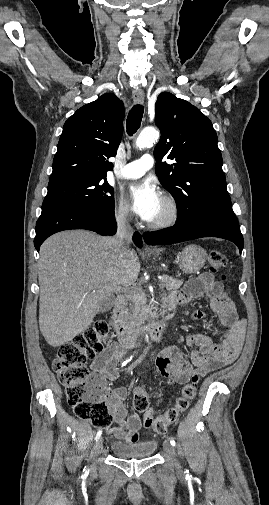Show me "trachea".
Segmentation results:
<instances>
[{
    "instance_id": "obj_1",
    "label": "trachea",
    "mask_w": 269,
    "mask_h": 505,
    "mask_svg": "<svg viewBox=\"0 0 269 505\" xmlns=\"http://www.w3.org/2000/svg\"><path fill=\"white\" fill-rule=\"evenodd\" d=\"M143 113H144V107L140 104L133 106L132 109L129 111L126 121V128L127 133L130 136H132L140 128Z\"/></svg>"
}]
</instances>
